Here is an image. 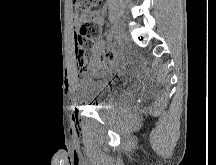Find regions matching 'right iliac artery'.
<instances>
[{"label": "right iliac artery", "mask_w": 216, "mask_h": 165, "mask_svg": "<svg viewBox=\"0 0 216 165\" xmlns=\"http://www.w3.org/2000/svg\"><path fill=\"white\" fill-rule=\"evenodd\" d=\"M114 37H115V32H114V29H111L110 31H109V34H108V40L109 41H112L113 39H114Z\"/></svg>", "instance_id": "1"}]
</instances>
